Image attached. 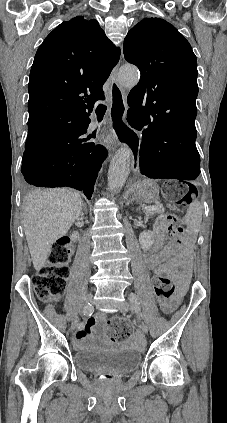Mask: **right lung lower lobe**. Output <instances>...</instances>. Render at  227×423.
Here are the masks:
<instances>
[{"label": "right lung lower lobe", "mask_w": 227, "mask_h": 423, "mask_svg": "<svg viewBox=\"0 0 227 423\" xmlns=\"http://www.w3.org/2000/svg\"><path fill=\"white\" fill-rule=\"evenodd\" d=\"M88 109V113L86 112ZM92 108H57L38 106L29 111V120L55 116L74 117L73 124L53 138L26 148L21 172L25 180L37 187H71L83 191L91 199L98 171L107 152L101 145L85 137Z\"/></svg>", "instance_id": "right-lung-lower-lobe-1"}]
</instances>
